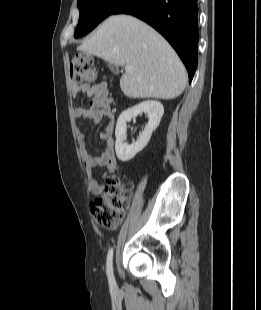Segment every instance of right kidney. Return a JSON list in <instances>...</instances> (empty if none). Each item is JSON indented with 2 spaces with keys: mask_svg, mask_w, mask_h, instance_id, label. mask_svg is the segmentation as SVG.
I'll return each instance as SVG.
<instances>
[{
  "mask_svg": "<svg viewBox=\"0 0 261 310\" xmlns=\"http://www.w3.org/2000/svg\"><path fill=\"white\" fill-rule=\"evenodd\" d=\"M142 112L147 113L149 117L148 124L144 131L140 134L138 140L131 145L125 144V136L127 130V123L131 119L137 117ZM164 113L163 105L158 101L148 100L131 107L121 113L117 120L115 136V150L116 155L120 161L126 162L134 158V156L143 150L148 144L152 132L158 127Z\"/></svg>",
  "mask_w": 261,
  "mask_h": 310,
  "instance_id": "ca27d5eb",
  "label": "right kidney"
}]
</instances>
